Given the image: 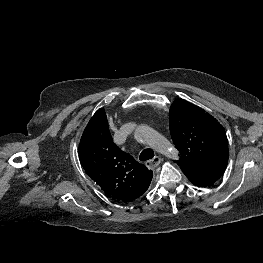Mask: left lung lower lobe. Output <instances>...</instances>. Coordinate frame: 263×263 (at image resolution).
Returning a JSON list of instances; mask_svg holds the SVG:
<instances>
[{
  "label": "left lung lower lobe",
  "mask_w": 263,
  "mask_h": 263,
  "mask_svg": "<svg viewBox=\"0 0 263 263\" xmlns=\"http://www.w3.org/2000/svg\"><path fill=\"white\" fill-rule=\"evenodd\" d=\"M186 177L192 182L194 185L198 187H209L213 185L222 175L212 172V173H205V172H194V171H187L184 172Z\"/></svg>",
  "instance_id": "left-lung-lower-lobe-1"
}]
</instances>
